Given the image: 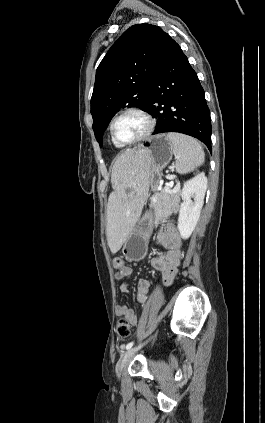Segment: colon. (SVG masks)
<instances>
[{"instance_id":"colon-1","label":"colon","mask_w":265,"mask_h":423,"mask_svg":"<svg viewBox=\"0 0 265 423\" xmlns=\"http://www.w3.org/2000/svg\"><path fill=\"white\" fill-rule=\"evenodd\" d=\"M113 267L116 271H121L124 267V261L121 257H115L113 259ZM117 336L121 339H126L131 335V328L128 320L125 317H121L117 321L116 325Z\"/></svg>"}]
</instances>
